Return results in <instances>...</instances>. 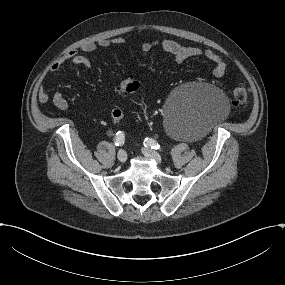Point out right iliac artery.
Returning a JSON list of instances; mask_svg holds the SVG:
<instances>
[{
  "instance_id": "82829eb1",
  "label": "right iliac artery",
  "mask_w": 285,
  "mask_h": 285,
  "mask_svg": "<svg viewBox=\"0 0 285 285\" xmlns=\"http://www.w3.org/2000/svg\"><path fill=\"white\" fill-rule=\"evenodd\" d=\"M124 141H125L124 132L118 131L116 133V136H115V139H114L115 146H122L124 144Z\"/></svg>"
}]
</instances>
